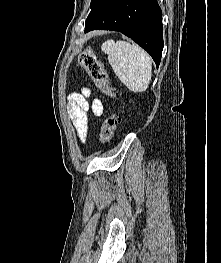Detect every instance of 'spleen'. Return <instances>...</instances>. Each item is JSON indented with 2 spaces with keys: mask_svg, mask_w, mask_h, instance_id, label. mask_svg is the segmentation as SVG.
Segmentation results:
<instances>
[{
  "mask_svg": "<svg viewBox=\"0 0 221 263\" xmlns=\"http://www.w3.org/2000/svg\"><path fill=\"white\" fill-rule=\"evenodd\" d=\"M119 80L133 92H144L152 76V59L144 50L125 41L107 40L101 46Z\"/></svg>",
  "mask_w": 221,
  "mask_h": 263,
  "instance_id": "obj_1",
  "label": "spleen"
}]
</instances>
